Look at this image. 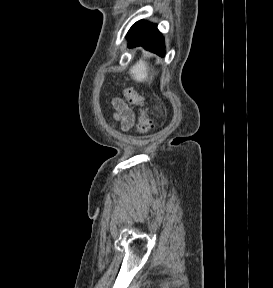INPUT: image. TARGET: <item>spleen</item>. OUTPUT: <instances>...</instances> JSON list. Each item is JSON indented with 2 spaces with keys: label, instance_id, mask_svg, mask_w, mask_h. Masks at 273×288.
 Listing matches in <instances>:
<instances>
[{
  "label": "spleen",
  "instance_id": "1",
  "mask_svg": "<svg viewBox=\"0 0 273 288\" xmlns=\"http://www.w3.org/2000/svg\"><path fill=\"white\" fill-rule=\"evenodd\" d=\"M148 64L143 60H139L130 68V75L137 82H144L148 79Z\"/></svg>",
  "mask_w": 273,
  "mask_h": 288
}]
</instances>
